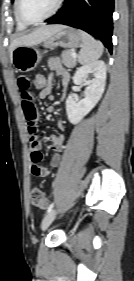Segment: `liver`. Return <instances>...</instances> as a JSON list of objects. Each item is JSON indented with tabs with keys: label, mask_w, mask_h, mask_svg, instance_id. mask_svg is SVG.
<instances>
[{
	"label": "liver",
	"mask_w": 134,
	"mask_h": 281,
	"mask_svg": "<svg viewBox=\"0 0 134 281\" xmlns=\"http://www.w3.org/2000/svg\"><path fill=\"white\" fill-rule=\"evenodd\" d=\"M62 27H63L62 25L42 26L33 30L29 34L20 36L11 42L10 53H12V51L19 46L35 45V44L42 43L51 35L58 32Z\"/></svg>",
	"instance_id": "obj_1"
}]
</instances>
